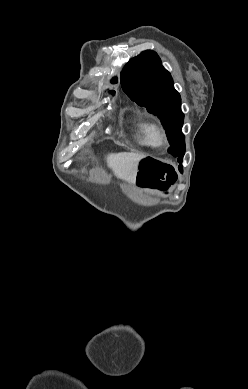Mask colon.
I'll return each instance as SVG.
<instances>
[{
	"instance_id": "1",
	"label": "colon",
	"mask_w": 248,
	"mask_h": 389,
	"mask_svg": "<svg viewBox=\"0 0 248 389\" xmlns=\"http://www.w3.org/2000/svg\"><path fill=\"white\" fill-rule=\"evenodd\" d=\"M139 184L145 188L166 192L176 181V172L170 161H159L158 157H139Z\"/></svg>"
}]
</instances>
